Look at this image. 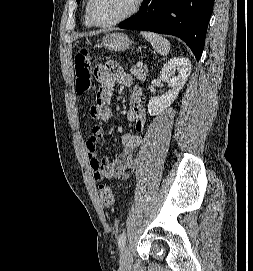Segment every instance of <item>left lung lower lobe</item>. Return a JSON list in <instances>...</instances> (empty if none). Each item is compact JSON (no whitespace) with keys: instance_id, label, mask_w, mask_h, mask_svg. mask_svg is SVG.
Listing matches in <instances>:
<instances>
[{"instance_id":"0a47b994","label":"left lung lower lobe","mask_w":253,"mask_h":271,"mask_svg":"<svg viewBox=\"0 0 253 271\" xmlns=\"http://www.w3.org/2000/svg\"><path fill=\"white\" fill-rule=\"evenodd\" d=\"M214 0H144L140 11L119 27L174 35L200 59Z\"/></svg>"}]
</instances>
